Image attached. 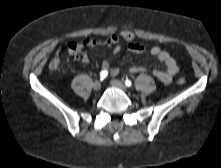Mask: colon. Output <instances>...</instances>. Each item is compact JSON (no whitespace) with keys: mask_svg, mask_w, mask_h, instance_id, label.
I'll use <instances>...</instances> for the list:
<instances>
[{"mask_svg":"<svg viewBox=\"0 0 221 168\" xmlns=\"http://www.w3.org/2000/svg\"><path fill=\"white\" fill-rule=\"evenodd\" d=\"M118 37L121 40H124L126 43H132L136 39V33L134 31H131L129 29L120 30L118 32ZM70 53V52H69ZM73 56V53H70ZM60 65V57L58 54H56L52 60L50 61V68L56 69ZM178 84L182 85L185 83V80L183 78L178 79Z\"/></svg>","mask_w":221,"mask_h":168,"instance_id":"5ec220e1","label":"colon"}]
</instances>
